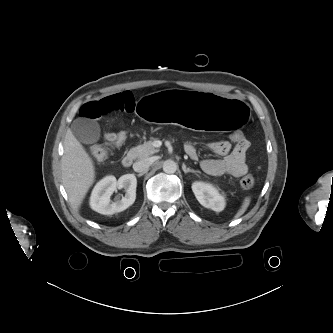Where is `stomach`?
<instances>
[{"mask_svg":"<svg viewBox=\"0 0 333 333\" xmlns=\"http://www.w3.org/2000/svg\"><path fill=\"white\" fill-rule=\"evenodd\" d=\"M138 115L156 123L205 130L237 132L251 120L250 108L214 92L186 89L156 91L138 101Z\"/></svg>","mask_w":333,"mask_h":333,"instance_id":"stomach-1","label":"stomach"}]
</instances>
